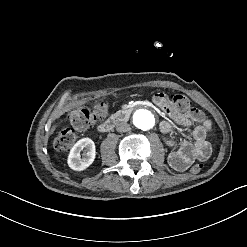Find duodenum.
Instances as JSON below:
<instances>
[{"instance_id": "1", "label": "duodenum", "mask_w": 247, "mask_h": 247, "mask_svg": "<svg viewBox=\"0 0 247 247\" xmlns=\"http://www.w3.org/2000/svg\"><path fill=\"white\" fill-rule=\"evenodd\" d=\"M135 107H128L119 110L113 116L99 124L98 130L102 133L109 132L119 121L126 119Z\"/></svg>"}]
</instances>
